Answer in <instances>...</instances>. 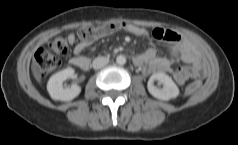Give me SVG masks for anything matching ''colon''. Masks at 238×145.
<instances>
[{
  "mask_svg": "<svg viewBox=\"0 0 238 145\" xmlns=\"http://www.w3.org/2000/svg\"><path fill=\"white\" fill-rule=\"evenodd\" d=\"M125 23H108L97 27H85L81 29L77 38L80 44L86 46L91 42L104 37L119 29H125ZM68 51V42L63 37H56L51 40L46 46L41 47L35 55V66L40 76H47L55 71L60 65V59ZM201 86V83L196 81L189 84L185 93L193 94Z\"/></svg>",
  "mask_w": 238,
  "mask_h": 145,
  "instance_id": "obj_1",
  "label": "colon"
}]
</instances>
